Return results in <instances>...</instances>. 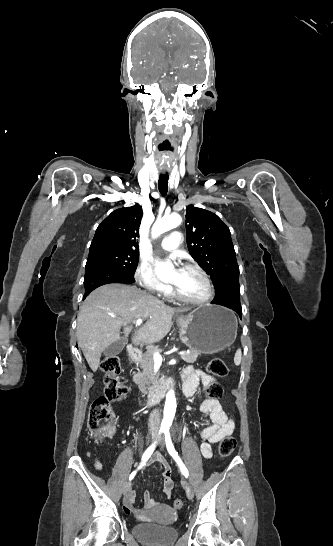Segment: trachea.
<instances>
[{"label": "trachea", "instance_id": "obj_1", "mask_svg": "<svg viewBox=\"0 0 333 546\" xmlns=\"http://www.w3.org/2000/svg\"><path fill=\"white\" fill-rule=\"evenodd\" d=\"M168 174H161L158 181L159 192L162 196H165L168 191Z\"/></svg>", "mask_w": 333, "mask_h": 546}]
</instances>
